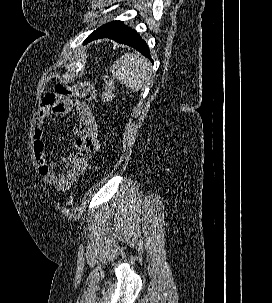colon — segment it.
<instances>
[{"mask_svg":"<svg viewBox=\"0 0 272 303\" xmlns=\"http://www.w3.org/2000/svg\"><path fill=\"white\" fill-rule=\"evenodd\" d=\"M104 84H105V87H104L103 93L101 95V102L103 104H107L113 99L114 91H115L114 80L109 74L105 75ZM73 203H74V198L72 195H69L66 198V204L68 206H71V205H73Z\"/></svg>","mask_w":272,"mask_h":303,"instance_id":"obj_1","label":"colon"}]
</instances>
